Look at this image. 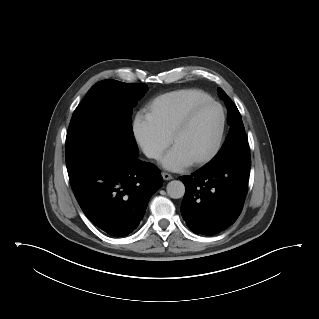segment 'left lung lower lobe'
Here are the masks:
<instances>
[{
	"mask_svg": "<svg viewBox=\"0 0 319 319\" xmlns=\"http://www.w3.org/2000/svg\"><path fill=\"white\" fill-rule=\"evenodd\" d=\"M250 168L249 156L235 155L180 177L186 187L181 213L190 230L214 235L235 222L243 208Z\"/></svg>",
	"mask_w": 319,
	"mask_h": 319,
	"instance_id": "0a47b994",
	"label": "left lung lower lobe"
}]
</instances>
